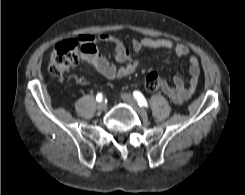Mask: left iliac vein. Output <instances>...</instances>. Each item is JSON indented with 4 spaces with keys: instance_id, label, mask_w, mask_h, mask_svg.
<instances>
[{
    "instance_id": "obj_1",
    "label": "left iliac vein",
    "mask_w": 245,
    "mask_h": 195,
    "mask_svg": "<svg viewBox=\"0 0 245 195\" xmlns=\"http://www.w3.org/2000/svg\"><path fill=\"white\" fill-rule=\"evenodd\" d=\"M122 99L130 105L142 118L146 119L147 118V112L145 111L144 108L140 107L136 101L135 98H133L130 94L128 93H123L121 95Z\"/></svg>"
}]
</instances>
